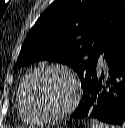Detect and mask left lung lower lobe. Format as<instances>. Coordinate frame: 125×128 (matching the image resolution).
I'll return each mask as SVG.
<instances>
[{
    "mask_svg": "<svg viewBox=\"0 0 125 128\" xmlns=\"http://www.w3.org/2000/svg\"><path fill=\"white\" fill-rule=\"evenodd\" d=\"M102 60L83 83V96L71 117L125 128V28L107 45Z\"/></svg>",
    "mask_w": 125,
    "mask_h": 128,
    "instance_id": "obj_1",
    "label": "left lung lower lobe"
}]
</instances>
